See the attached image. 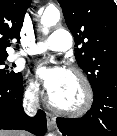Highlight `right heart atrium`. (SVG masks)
<instances>
[{
	"label": "right heart atrium",
	"mask_w": 117,
	"mask_h": 136,
	"mask_svg": "<svg viewBox=\"0 0 117 136\" xmlns=\"http://www.w3.org/2000/svg\"><path fill=\"white\" fill-rule=\"evenodd\" d=\"M39 95V84L34 80H28L25 89H24V96L25 99L29 102H33L37 99Z\"/></svg>",
	"instance_id": "d8ad5b80"
}]
</instances>
